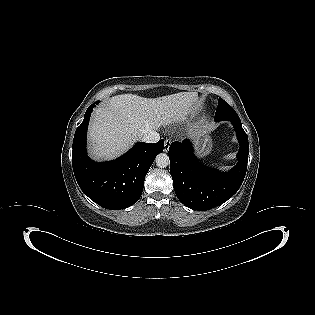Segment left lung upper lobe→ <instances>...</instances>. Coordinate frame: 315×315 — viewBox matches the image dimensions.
I'll return each instance as SVG.
<instances>
[{
    "instance_id": "5c2ea615",
    "label": "left lung upper lobe",
    "mask_w": 315,
    "mask_h": 315,
    "mask_svg": "<svg viewBox=\"0 0 315 315\" xmlns=\"http://www.w3.org/2000/svg\"><path fill=\"white\" fill-rule=\"evenodd\" d=\"M234 121L240 120L235 110L229 106L222 98H219L217 110L215 113V121Z\"/></svg>"
}]
</instances>
